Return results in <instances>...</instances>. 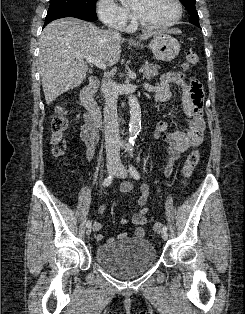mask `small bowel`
<instances>
[{"instance_id": "obj_1", "label": "small bowel", "mask_w": 245, "mask_h": 314, "mask_svg": "<svg viewBox=\"0 0 245 314\" xmlns=\"http://www.w3.org/2000/svg\"><path fill=\"white\" fill-rule=\"evenodd\" d=\"M177 86L181 91L182 111L184 121L189 130L183 131L177 129L168 131L169 125L166 121H159L153 131V137L161 140L165 146V175L170 176L175 162L180 155L191 147L199 145L205 134V122L203 119V100L204 94L201 83L195 79L188 80L178 72L165 73L160 83L151 87L150 91L154 94L156 101L161 103L169 102L172 98L171 88ZM80 137L86 148V158L92 161L95 156L96 144L99 140V134L96 127L88 117L84 118V123L80 127ZM134 187L132 182H124L121 184L120 190L122 193L130 192ZM149 195V187L146 184L141 185V195L137 200L139 210L135 212L130 219H122L121 223L127 225L129 223L135 226L133 235L135 238H143L145 235L144 225L147 222V200ZM103 211V208H101ZM93 230L98 231L96 236L97 241L104 238L103 226L99 222H94ZM127 233H120L116 237H110L107 242L124 239Z\"/></svg>"}]
</instances>
